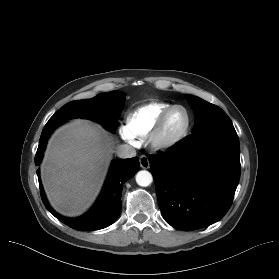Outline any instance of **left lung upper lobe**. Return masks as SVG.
I'll return each mask as SVG.
<instances>
[{"label": "left lung upper lobe", "instance_id": "left-lung-upper-lobe-1", "mask_svg": "<svg viewBox=\"0 0 279 279\" xmlns=\"http://www.w3.org/2000/svg\"><path fill=\"white\" fill-rule=\"evenodd\" d=\"M187 101L195 115L193 133L211 128H234L230 118L220 107L195 96H188Z\"/></svg>", "mask_w": 279, "mask_h": 279}]
</instances>
